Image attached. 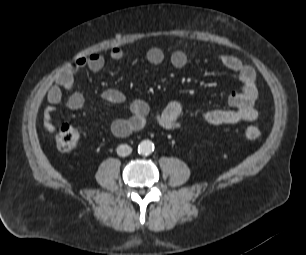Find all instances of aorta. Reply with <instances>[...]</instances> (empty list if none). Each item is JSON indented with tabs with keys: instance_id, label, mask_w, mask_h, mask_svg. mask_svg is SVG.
I'll use <instances>...</instances> for the list:
<instances>
[{
	"instance_id": "aorta-1",
	"label": "aorta",
	"mask_w": 306,
	"mask_h": 255,
	"mask_svg": "<svg viewBox=\"0 0 306 255\" xmlns=\"http://www.w3.org/2000/svg\"><path fill=\"white\" fill-rule=\"evenodd\" d=\"M154 151V144L150 140H143L138 145V153L143 156L150 155Z\"/></svg>"
}]
</instances>
